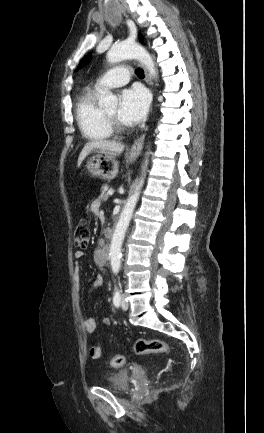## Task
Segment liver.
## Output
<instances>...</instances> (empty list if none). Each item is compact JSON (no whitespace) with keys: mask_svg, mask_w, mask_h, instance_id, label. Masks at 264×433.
I'll list each match as a JSON object with an SVG mask.
<instances>
[{"mask_svg":"<svg viewBox=\"0 0 264 433\" xmlns=\"http://www.w3.org/2000/svg\"><path fill=\"white\" fill-rule=\"evenodd\" d=\"M98 150L104 154L118 155L123 152L124 144L110 141V140H93L85 144L83 147L79 158H78V167L81 165L83 160L93 151Z\"/></svg>","mask_w":264,"mask_h":433,"instance_id":"liver-1","label":"liver"}]
</instances>
